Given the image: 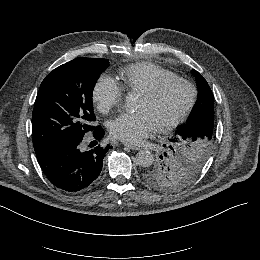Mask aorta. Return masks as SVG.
I'll list each match as a JSON object with an SVG mask.
<instances>
[{
    "label": "aorta",
    "mask_w": 260,
    "mask_h": 260,
    "mask_svg": "<svg viewBox=\"0 0 260 260\" xmlns=\"http://www.w3.org/2000/svg\"><path fill=\"white\" fill-rule=\"evenodd\" d=\"M126 106L130 109L134 107V102L129 99L126 102ZM154 161V156L149 150H141L136 155V162L141 167H149Z\"/></svg>",
    "instance_id": "762f6f07"
}]
</instances>
